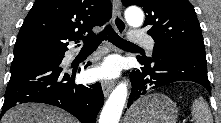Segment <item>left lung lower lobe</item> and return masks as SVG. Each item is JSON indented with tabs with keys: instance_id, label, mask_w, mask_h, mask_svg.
Wrapping results in <instances>:
<instances>
[{
	"instance_id": "obj_1",
	"label": "left lung lower lobe",
	"mask_w": 221,
	"mask_h": 123,
	"mask_svg": "<svg viewBox=\"0 0 221 123\" xmlns=\"http://www.w3.org/2000/svg\"><path fill=\"white\" fill-rule=\"evenodd\" d=\"M138 61L143 67L131 72L132 89L127 107L149 91L175 81H193L211 91L205 56L188 52H159L152 58L138 56Z\"/></svg>"
}]
</instances>
